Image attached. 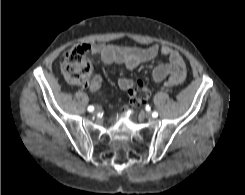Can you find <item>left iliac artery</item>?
I'll use <instances>...</instances> for the list:
<instances>
[{"label":"left iliac artery","mask_w":245,"mask_h":195,"mask_svg":"<svg viewBox=\"0 0 245 195\" xmlns=\"http://www.w3.org/2000/svg\"><path fill=\"white\" fill-rule=\"evenodd\" d=\"M152 116H153L154 118H156V117H158V113H157L156 111H154V112L152 113Z\"/></svg>","instance_id":"1"}]
</instances>
